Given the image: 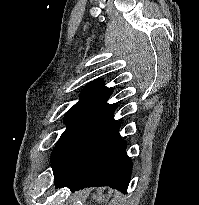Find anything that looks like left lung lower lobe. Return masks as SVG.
Instances as JSON below:
<instances>
[{"label": "left lung lower lobe", "instance_id": "left-lung-lower-lobe-1", "mask_svg": "<svg viewBox=\"0 0 199 205\" xmlns=\"http://www.w3.org/2000/svg\"><path fill=\"white\" fill-rule=\"evenodd\" d=\"M114 111L90 134L67 174L55 180L56 188L110 186L126 192L132 162L119 134L120 122L113 119Z\"/></svg>", "mask_w": 199, "mask_h": 205}]
</instances>
